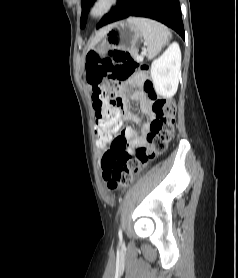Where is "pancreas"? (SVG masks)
Instances as JSON below:
<instances>
[{
	"label": "pancreas",
	"instance_id": "pancreas-1",
	"mask_svg": "<svg viewBox=\"0 0 238 278\" xmlns=\"http://www.w3.org/2000/svg\"><path fill=\"white\" fill-rule=\"evenodd\" d=\"M130 53H131V55L132 56H134V57H138V55H137V50L136 49H132V50H130Z\"/></svg>",
	"mask_w": 238,
	"mask_h": 278
}]
</instances>
